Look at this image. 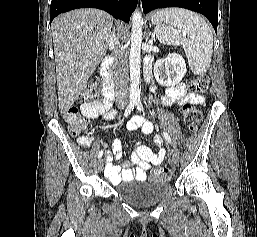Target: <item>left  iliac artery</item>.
Returning a JSON list of instances; mask_svg holds the SVG:
<instances>
[{
  "mask_svg": "<svg viewBox=\"0 0 257 237\" xmlns=\"http://www.w3.org/2000/svg\"><path fill=\"white\" fill-rule=\"evenodd\" d=\"M136 106H137V109H138V110L144 111L141 101H137V102H136ZM162 135H163L164 139H165L168 143H170V144L172 143L170 136H169L166 132L163 131Z\"/></svg>",
  "mask_w": 257,
  "mask_h": 237,
  "instance_id": "left-iliac-artery-1",
  "label": "left iliac artery"
}]
</instances>
